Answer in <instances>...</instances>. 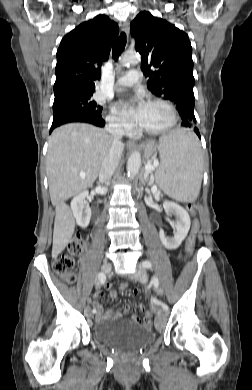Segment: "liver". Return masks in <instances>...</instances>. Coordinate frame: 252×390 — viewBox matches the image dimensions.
<instances>
[{
    "label": "liver",
    "instance_id": "1",
    "mask_svg": "<svg viewBox=\"0 0 252 390\" xmlns=\"http://www.w3.org/2000/svg\"><path fill=\"white\" fill-rule=\"evenodd\" d=\"M112 141L105 130L85 123L66 124L52 132L46 170L50 198L56 210L54 258L66 248L75 230L74 216L65 201L93 185Z\"/></svg>",
    "mask_w": 252,
    "mask_h": 390
}]
</instances>
